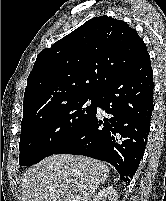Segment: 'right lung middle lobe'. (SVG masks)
I'll return each mask as SVG.
<instances>
[{"label":"right lung middle lobe","instance_id":"dd1d6c3e","mask_svg":"<svg viewBox=\"0 0 166 201\" xmlns=\"http://www.w3.org/2000/svg\"><path fill=\"white\" fill-rule=\"evenodd\" d=\"M91 100V105L86 102ZM96 111V96H85L36 114L23 116L19 164L31 166L54 152Z\"/></svg>","mask_w":166,"mask_h":201}]
</instances>
